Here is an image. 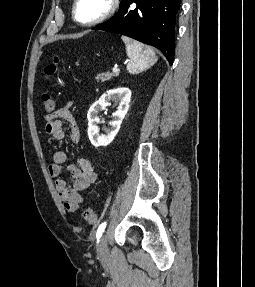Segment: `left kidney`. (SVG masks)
<instances>
[{
	"label": "left kidney",
	"mask_w": 255,
	"mask_h": 287,
	"mask_svg": "<svg viewBox=\"0 0 255 287\" xmlns=\"http://www.w3.org/2000/svg\"><path fill=\"white\" fill-rule=\"evenodd\" d=\"M131 90L128 88H116V90H108L105 92L97 102H94L93 106L89 108V112L87 114L88 120V136L92 145L95 147H99V145H109L112 140H114L117 132L120 130V126L129 110V104L131 100ZM110 100H116L119 106L112 114V122H111V130H107L106 134H99L98 124H102L100 122V118L98 116L99 112L102 110H106V106H109Z\"/></svg>",
	"instance_id": "1"
}]
</instances>
